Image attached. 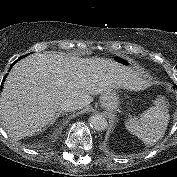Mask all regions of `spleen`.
Instances as JSON below:
<instances>
[{
  "label": "spleen",
  "mask_w": 177,
  "mask_h": 177,
  "mask_svg": "<svg viewBox=\"0 0 177 177\" xmlns=\"http://www.w3.org/2000/svg\"><path fill=\"white\" fill-rule=\"evenodd\" d=\"M166 103L164 97L158 96L154 106L144 111L138 119L126 121L127 130L146 145L156 144L163 138L170 119Z\"/></svg>",
  "instance_id": "obj_1"
}]
</instances>
